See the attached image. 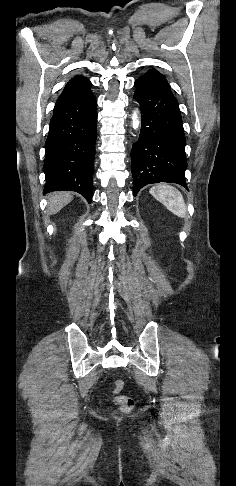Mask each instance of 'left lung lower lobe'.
<instances>
[{
	"instance_id": "left-lung-lower-lobe-1",
	"label": "left lung lower lobe",
	"mask_w": 236,
	"mask_h": 486,
	"mask_svg": "<svg viewBox=\"0 0 236 486\" xmlns=\"http://www.w3.org/2000/svg\"><path fill=\"white\" fill-rule=\"evenodd\" d=\"M134 99L140 104L142 128L131 151L134 196L147 184L168 182L187 188L186 139L178 101L172 91L138 78Z\"/></svg>"
}]
</instances>
